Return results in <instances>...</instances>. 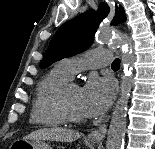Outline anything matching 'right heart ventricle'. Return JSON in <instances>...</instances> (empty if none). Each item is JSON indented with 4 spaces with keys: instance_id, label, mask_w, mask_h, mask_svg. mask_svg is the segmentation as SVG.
I'll use <instances>...</instances> for the list:
<instances>
[{
    "instance_id": "1",
    "label": "right heart ventricle",
    "mask_w": 155,
    "mask_h": 149,
    "mask_svg": "<svg viewBox=\"0 0 155 149\" xmlns=\"http://www.w3.org/2000/svg\"><path fill=\"white\" fill-rule=\"evenodd\" d=\"M71 80L58 65L38 82L30 121L44 127H58L66 123L59 106L61 88Z\"/></svg>"
}]
</instances>
